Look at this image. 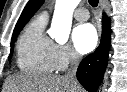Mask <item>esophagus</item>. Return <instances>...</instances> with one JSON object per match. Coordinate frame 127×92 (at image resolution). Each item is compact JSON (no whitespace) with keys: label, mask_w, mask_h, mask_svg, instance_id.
<instances>
[{"label":"esophagus","mask_w":127,"mask_h":92,"mask_svg":"<svg viewBox=\"0 0 127 92\" xmlns=\"http://www.w3.org/2000/svg\"><path fill=\"white\" fill-rule=\"evenodd\" d=\"M100 7H101V9H103V7H104V0H100Z\"/></svg>","instance_id":"obj_1"}]
</instances>
